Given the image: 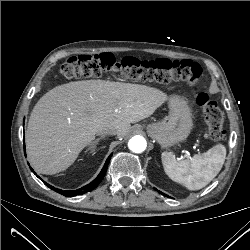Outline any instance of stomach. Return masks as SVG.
<instances>
[{"label":"stomach","instance_id":"obj_1","mask_svg":"<svg viewBox=\"0 0 250 250\" xmlns=\"http://www.w3.org/2000/svg\"><path fill=\"white\" fill-rule=\"evenodd\" d=\"M169 114L162 121L147 125L149 135L162 147L184 141L192 129V113L187 101L180 96L169 99Z\"/></svg>","mask_w":250,"mask_h":250}]
</instances>
